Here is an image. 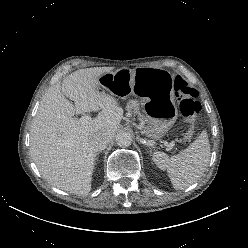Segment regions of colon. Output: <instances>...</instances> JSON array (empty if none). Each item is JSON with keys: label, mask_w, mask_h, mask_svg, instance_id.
I'll use <instances>...</instances> for the list:
<instances>
[{"label": "colon", "mask_w": 248, "mask_h": 248, "mask_svg": "<svg viewBox=\"0 0 248 248\" xmlns=\"http://www.w3.org/2000/svg\"><path fill=\"white\" fill-rule=\"evenodd\" d=\"M174 95L180 101L182 114L192 120L200 111L201 105L197 100L196 90L193 89L181 76L174 81ZM194 137V127L191 125L184 135V141L189 143Z\"/></svg>", "instance_id": "obj_1"}]
</instances>
